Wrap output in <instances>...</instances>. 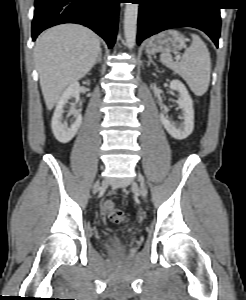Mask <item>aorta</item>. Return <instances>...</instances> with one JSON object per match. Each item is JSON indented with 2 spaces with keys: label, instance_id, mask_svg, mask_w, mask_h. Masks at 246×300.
I'll return each mask as SVG.
<instances>
[{
  "label": "aorta",
  "instance_id": "1",
  "mask_svg": "<svg viewBox=\"0 0 246 300\" xmlns=\"http://www.w3.org/2000/svg\"><path fill=\"white\" fill-rule=\"evenodd\" d=\"M137 3H126L124 10V35L126 46L133 49L136 42L138 7Z\"/></svg>",
  "mask_w": 246,
  "mask_h": 300
}]
</instances>
